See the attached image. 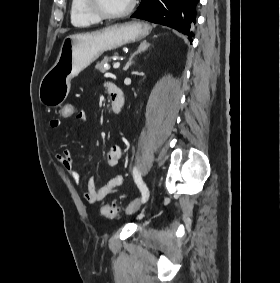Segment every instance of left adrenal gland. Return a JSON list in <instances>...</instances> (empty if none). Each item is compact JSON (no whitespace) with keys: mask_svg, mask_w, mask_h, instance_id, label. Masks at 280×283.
Listing matches in <instances>:
<instances>
[{"mask_svg":"<svg viewBox=\"0 0 280 283\" xmlns=\"http://www.w3.org/2000/svg\"><path fill=\"white\" fill-rule=\"evenodd\" d=\"M149 46H150V44H149L147 41L141 42L140 45H139V47H138V49L130 56L128 62L126 63V65H125V67H124V70L126 71V70L132 65V63H133V58H134L136 55H138V54H140V53L146 51Z\"/></svg>","mask_w":280,"mask_h":283,"instance_id":"left-adrenal-gland-1","label":"left adrenal gland"}]
</instances>
